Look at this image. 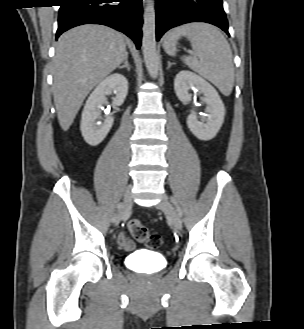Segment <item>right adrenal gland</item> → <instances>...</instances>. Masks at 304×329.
Returning a JSON list of instances; mask_svg holds the SVG:
<instances>
[{
    "label": "right adrenal gland",
    "mask_w": 304,
    "mask_h": 329,
    "mask_svg": "<svg viewBox=\"0 0 304 329\" xmlns=\"http://www.w3.org/2000/svg\"><path fill=\"white\" fill-rule=\"evenodd\" d=\"M123 68H126L128 71H130V65L128 63V56L125 57L123 65L119 67V69H123Z\"/></svg>",
    "instance_id": "obj_1"
}]
</instances>
